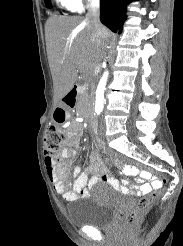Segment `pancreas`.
Returning <instances> with one entry per match:
<instances>
[{
    "instance_id": "1",
    "label": "pancreas",
    "mask_w": 183,
    "mask_h": 246,
    "mask_svg": "<svg viewBox=\"0 0 183 246\" xmlns=\"http://www.w3.org/2000/svg\"><path fill=\"white\" fill-rule=\"evenodd\" d=\"M86 103H87V94H83L80 97V106L81 107H84Z\"/></svg>"
}]
</instances>
